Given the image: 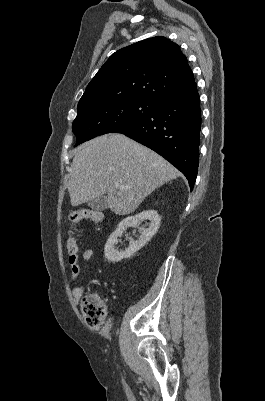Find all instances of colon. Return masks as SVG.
Returning <instances> with one entry per match:
<instances>
[{
  "label": "colon",
  "mask_w": 265,
  "mask_h": 401,
  "mask_svg": "<svg viewBox=\"0 0 265 401\" xmlns=\"http://www.w3.org/2000/svg\"><path fill=\"white\" fill-rule=\"evenodd\" d=\"M103 218V215L99 211L90 209H78L69 215V221L75 225L83 220H90L93 223H99ZM67 250L69 255H75L78 246L75 239L70 236L67 241ZM81 311L84 320L90 326H100L106 319L108 309L105 301L97 293H91L86 295L81 301Z\"/></svg>",
  "instance_id": "5ec220e1"
}]
</instances>
